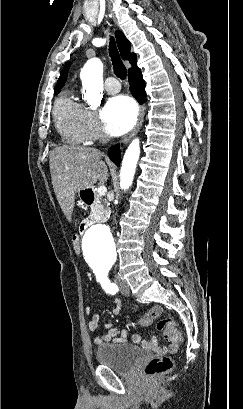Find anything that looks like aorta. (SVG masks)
<instances>
[{"label": "aorta", "mask_w": 243, "mask_h": 409, "mask_svg": "<svg viewBox=\"0 0 243 409\" xmlns=\"http://www.w3.org/2000/svg\"><path fill=\"white\" fill-rule=\"evenodd\" d=\"M83 94L87 102L97 107L103 91V64L100 59L92 58L86 62L80 74ZM140 155L139 140L135 139L125 152L120 171V187L123 190L131 186ZM82 247L87 260L102 261L115 253V242L110 229L105 225L89 227L83 236Z\"/></svg>", "instance_id": "762f6f07"}]
</instances>
